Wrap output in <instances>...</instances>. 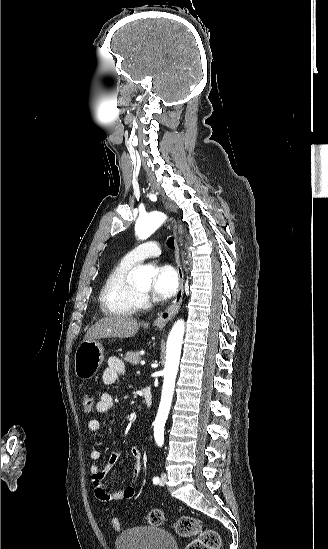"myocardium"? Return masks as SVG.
<instances>
[{"label":"myocardium","mask_w":328,"mask_h":549,"mask_svg":"<svg viewBox=\"0 0 328 549\" xmlns=\"http://www.w3.org/2000/svg\"><path fill=\"white\" fill-rule=\"evenodd\" d=\"M140 267H153V264L152 263H146V264H143V265H140L138 268ZM137 268V269H138ZM131 290H132V293L133 295L141 301L142 304L140 305H136L135 307L141 309L142 307L145 306V301L147 299V296H148V293L147 292H143L141 289H139L133 282L131 283Z\"/></svg>","instance_id":"obj_1"}]
</instances>
